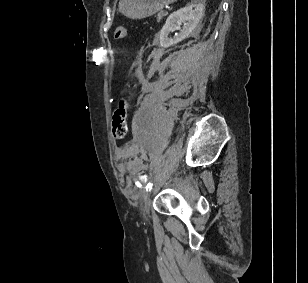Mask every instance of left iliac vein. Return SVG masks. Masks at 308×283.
Returning a JSON list of instances; mask_svg holds the SVG:
<instances>
[{"mask_svg":"<svg viewBox=\"0 0 308 283\" xmlns=\"http://www.w3.org/2000/svg\"><path fill=\"white\" fill-rule=\"evenodd\" d=\"M149 206H150V194L148 193L145 197V200L142 206V211L144 212V215L149 212Z\"/></svg>","mask_w":308,"mask_h":283,"instance_id":"left-iliac-vein-1","label":"left iliac vein"}]
</instances>
